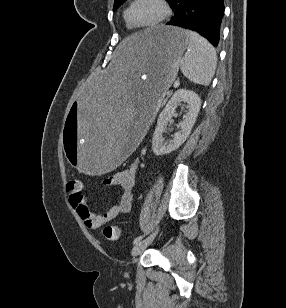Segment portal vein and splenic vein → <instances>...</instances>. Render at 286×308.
<instances>
[{"mask_svg":"<svg viewBox=\"0 0 286 308\" xmlns=\"http://www.w3.org/2000/svg\"><path fill=\"white\" fill-rule=\"evenodd\" d=\"M179 85H180V83H179V81L177 80V81L174 82L173 87L176 88V87H178Z\"/></svg>","mask_w":286,"mask_h":308,"instance_id":"portal-vein-and-splenic-vein-1","label":"portal vein and splenic vein"}]
</instances>
